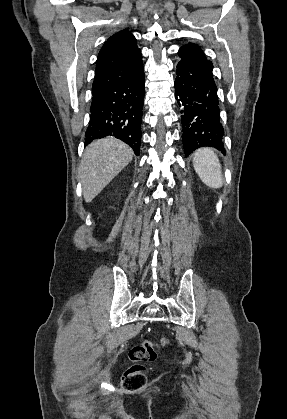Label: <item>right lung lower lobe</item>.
<instances>
[{
    "label": "right lung lower lobe",
    "mask_w": 287,
    "mask_h": 419,
    "mask_svg": "<svg viewBox=\"0 0 287 419\" xmlns=\"http://www.w3.org/2000/svg\"><path fill=\"white\" fill-rule=\"evenodd\" d=\"M91 116L85 144L114 136L140 153L141 121L144 103L143 65L128 77L92 91Z\"/></svg>",
    "instance_id": "1"
}]
</instances>
